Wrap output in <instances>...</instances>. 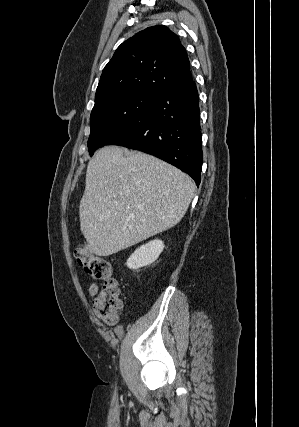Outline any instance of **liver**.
<instances>
[{"mask_svg":"<svg viewBox=\"0 0 299 427\" xmlns=\"http://www.w3.org/2000/svg\"><path fill=\"white\" fill-rule=\"evenodd\" d=\"M192 179L146 153L118 146L89 161L79 205L87 249L109 256L172 228L194 196Z\"/></svg>","mask_w":299,"mask_h":427,"instance_id":"1","label":"liver"}]
</instances>
